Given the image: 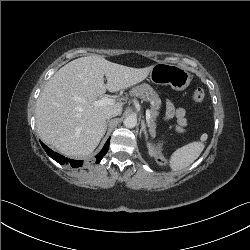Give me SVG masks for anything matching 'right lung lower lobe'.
<instances>
[{"label": "right lung lower lobe", "instance_id": "98d812e1", "mask_svg": "<svg viewBox=\"0 0 250 250\" xmlns=\"http://www.w3.org/2000/svg\"><path fill=\"white\" fill-rule=\"evenodd\" d=\"M109 141L110 138L107 140L106 144L104 145L103 149L96 155V163H99L101 161V159L103 158V156L107 153L108 149H109ZM42 144V147L44 148V150L46 151V153L55 161H57L60 164H70L72 167L76 168L79 167L83 164V161L80 160H71L68 158H65L64 156L59 155L58 153H55L54 151H52L51 149H49L45 144Z\"/></svg>", "mask_w": 250, "mask_h": 250}]
</instances>
